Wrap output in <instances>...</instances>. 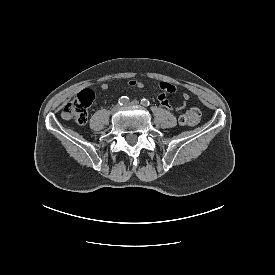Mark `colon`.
I'll return each instance as SVG.
<instances>
[{
	"mask_svg": "<svg viewBox=\"0 0 275 275\" xmlns=\"http://www.w3.org/2000/svg\"><path fill=\"white\" fill-rule=\"evenodd\" d=\"M95 99V93L91 89L82 90L73 101L66 104L62 110L63 118L71 120L78 125H84L88 117V107ZM202 111L198 105L192 106L180 118L183 125L195 126L199 123Z\"/></svg>",
	"mask_w": 275,
	"mask_h": 275,
	"instance_id": "obj_1",
	"label": "colon"
}]
</instances>
